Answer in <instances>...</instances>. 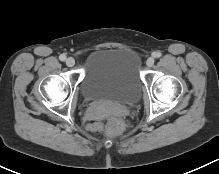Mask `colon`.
Here are the masks:
<instances>
[{"instance_id": "5ec220e1", "label": "colon", "mask_w": 219, "mask_h": 174, "mask_svg": "<svg viewBox=\"0 0 219 174\" xmlns=\"http://www.w3.org/2000/svg\"><path fill=\"white\" fill-rule=\"evenodd\" d=\"M89 128L91 130H102L103 125L100 122H92L89 124ZM123 129V122L122 120L117 116H112L109 119V122L106 127V131L108 134H118Z\"/></svg>"}]
</instances>
